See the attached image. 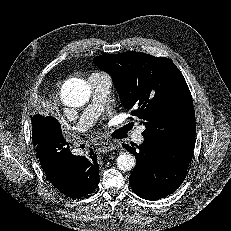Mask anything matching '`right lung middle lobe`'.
Listing matches in <instances>:
<instances>
[{
	"label": "right lung middle lobe",
	"instance_id": "dd1d6c3e",
	"mask_svg": "<svg viewBox=\"0 0 231 231\" xmlns=\"http://www.w3.org/2000/svg\"><path fill=\"white\" fill-rule=\"evenodd\" d=\"M43 118H44L43 116L35 115V116L32 118V123H36V122H38L39 120H42Z\"/></svg>",
	"mask_w": 231,
	"mask_h": 231
}]
</instances>
